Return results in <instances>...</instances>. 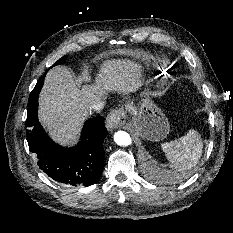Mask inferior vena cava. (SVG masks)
Returning a JSON list of instances; mask_svg holds the SVG:
<instances>
[{
	"label": "inferior vena cava",
	"mask_w": 233,
	"mask_h": 233,
	"mask_svg": "<svg viewBox=\"0 0 233 233\" xmlns=\"http://www.w3.org/2000/svg\"><path fill=\"white\" fill-rule=\"evenodd\" d=\"M104 108V101L101 99H97L93 101L91 105V109H93L95 112H100Z\"/></svg>",
	"instance_id": "inferior-vena-cava-1"
}]
</instances>
